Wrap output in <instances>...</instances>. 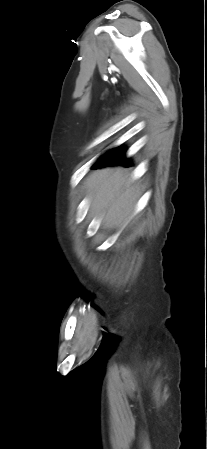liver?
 <instances>
[{"label":"liver","mask_w":207,"mask_h":449,"mask_svg":"<svg viewBox=\"0 0 207 449\" xmlns=\"http://www.w3.org/2000/svg\"><path fill=\"white\" fill-rule=\"evenodd\" d=\"M84 187L92 199L91 211L102 215L109 227L127 220L140 195L139 187L129 182V174L117 167L93 172Z\"/></svg>","instance_id":"1"}]
</instances>
